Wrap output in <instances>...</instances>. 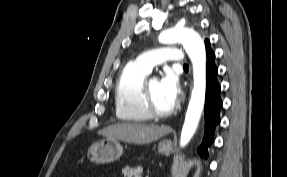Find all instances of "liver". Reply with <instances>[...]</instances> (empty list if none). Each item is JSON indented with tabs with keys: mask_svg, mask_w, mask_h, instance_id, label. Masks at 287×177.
<instances>
[{
	"mask_svg": "<svg viewBox=\"0 0 287 177\" xmlns=\"http://www.w3.org/2000/svg\"><path fill=\"white\" fill-rule=\"evenodd\" d=\"M171 130L168 126L147 125L140 123H117L98 132L108 139L121 140L133 144H148Z\"/></svg>",
	"mask_w": 287,
	"mask_h": 177,
	"instance_id": "liver-1",
	"label": "liver"
}]
</instances>
